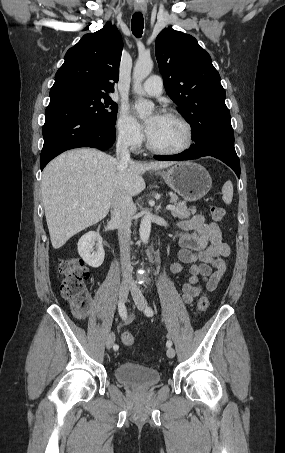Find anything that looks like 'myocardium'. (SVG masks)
Wrapping results in <instances>:
<instances>
[{
	"mask_svg": "<svg viewBox=\"0 0 285 453\" xmlns=\"http://www.w3.org/2000/svg\"><path fill=\"white\" fill-rule=\"evenodd\" d=\"M161 115L172 117V118L178 120L184 126V128L186 130V142L183 146H181L179 148L165 149V148L156 146L151 141L149 135L147 134L146 144H147L148 149L157 154L170 155V156L180 155V154L188 151L194 143V132H193V128H192V125L190 124V122L183 115H181L177 111L171 110V109L162 111Z\"/></svg>",
	"mask_w": 285,
	"mask_h": 453,
	"instance_id": "myocardium-1",
	"label": "myocardium"
}]
</instances>
